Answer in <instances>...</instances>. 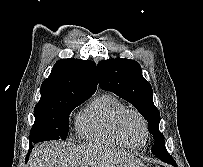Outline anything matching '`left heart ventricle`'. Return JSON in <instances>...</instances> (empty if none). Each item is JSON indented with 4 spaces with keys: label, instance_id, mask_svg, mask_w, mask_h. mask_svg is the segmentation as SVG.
<instances>
[{
    "label": "left heart ventricle",
    "instance_id": "b2bd125f",
    "mask_svg": "<svg viewBox=\"0 0 203 167\" xmlns=\"http://www.w3.org/2000/svg\"><path fill=\"white\" fill-rule=\"evenodd\" d=\"M122 128L127 138L136 145L142 144L144 140V129L142 122L133 114L127 115L122 122Z\"/></svg>",
    "mask_w": 203,
    "mask_h": 167
}]
</instances>
